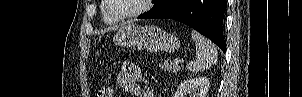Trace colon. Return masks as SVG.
<instances>
[{
    "instance_id": "1",
    "label": "colon",
    "mask_w": 302,
    "mask_h": 97,
    "mask_svg": "<svg viewBox=\"0 0 302 97\" xmlns=\"http://www.w3.org/2000/svg\"><path fill=\"white\" fill-rule=\"evenodd\" d=\"M98 97H112L113 92L110 87H103L98 91Z\"/></svg>"
}]
</instances>
